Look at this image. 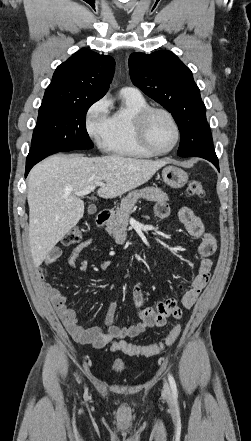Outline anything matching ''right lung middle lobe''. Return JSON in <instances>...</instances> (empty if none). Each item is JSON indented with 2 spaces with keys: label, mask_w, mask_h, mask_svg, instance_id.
I'll return each mask as SVG.
<instances>
[{
  "label": "right lung middle lobe",
  "mask_w": 251,
  "mask_h": 441,
  "mask_svg": "<svg viewBox=\"0 0 251 441\" xmlns=\"http://www.w3.org/2000/svg\"><path fill=\"white\" fill-rule=\"evenodd\" d=\"M99 99L42 103L33 132L31 149L66 152L93 148L94 145L86 131L85 119L89 107Z\"/></svg>",
  "instance_id": "obj_1"
}]
</instances>
